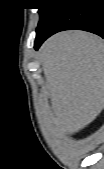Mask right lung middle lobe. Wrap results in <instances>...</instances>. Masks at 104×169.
<instances>
[{"instance_id":"obj_1","label":"right lung middle lobe","mask_w":104,"mask_h":169,"mask_svg":"<svg viewBox=\"0 0 104 169\" xmlns=\"http://www.w3.org/2000/svg\"><path fill=\"white\" fill-rule=\"evenodd\" d=\"M40 2V21L36 31L40 30L47 23L65 0H42Z\"/></svg>"}]
</instances>
